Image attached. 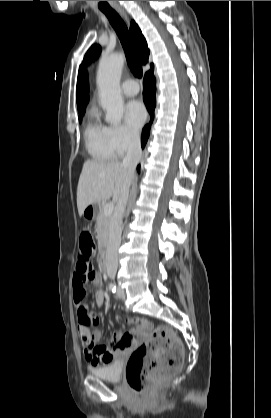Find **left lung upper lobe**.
Masks as SVG:
<instances>
[{
    "instance_id": "obj_1",
    "label": "left lung upper lobe",
    "mask_w": 271,
    "mask_h": 418,
    "mask_svg": "<svg viewBox=\"0 0 271 418\" xmlns=\"http://www.w3.org/2000/svg\"><path fill=\"white\" fill-rule=\"evenodd\" d=\"M101 51L100 46L98 45H93L88 52L86 53L84 60H83V64H87L89 61L93 60L95 57H97L99 55Z\"/></svg>"
}]
</instances>
